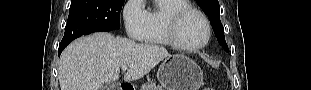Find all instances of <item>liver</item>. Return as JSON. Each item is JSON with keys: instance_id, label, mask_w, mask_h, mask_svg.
Segmentation results:
<instances>
[{"instance_id": "6515ba94", "label": "liver", "mask_w": 311, "mask_h": 90, "mask_svg": "<svg viewBox=\"0 0 311 90\" xmlns=\"http://www.w3.org/2000/svg\"><path fill=\"white\" fill-rule=\"evenodd\" d=\"M162 46L140 44L128 38L98 32L73 41L62 53L58 68L61 90H100L103 83L119 79L120 68L128 65L125 81L149 73L169 57Z\"/></svg>"}]
</instances>
